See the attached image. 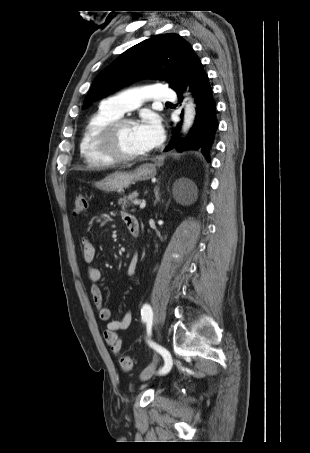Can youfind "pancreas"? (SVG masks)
Instances as JSON below:
<instances>
[{"label":"pancreas","mask_w":310,"mask_h":453,"mask_svg":"<svg viewBox=\"0 0 310 453\" xmlns=\"http://www.w3.org/2000/svg\"><path fill=\"white\" fill-rule=\"evenodd\" d=\"M137 197H138V193L133 192V193L129 194L128 196H124L123 198H120L118 201V204L121 205L123 210H125L131 206V201L137 200Z\"/></svg>","instance_id":"cf45deb5"}]
</instances>
